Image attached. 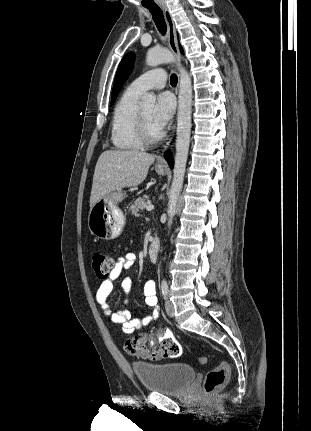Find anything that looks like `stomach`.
<instances>
[{
  "label": "stomach",
  "instance_id": "obj_1",
  "mask_svg": "<svg viewBox=\"0 0 311 431\" xmlns=\"http://www.w3.org/2000/svg\"><path fill=\"white\" fill-rule=\"evenodd\" d=\"M158 176H165V168L155 166ZM127 198L122 190L112 192L101 198L99 202L90 208L88 214V227L99 239H115L124 229L126 216H124L119 204Z\"/></svg>",
  "mask_w": 311,
  "mask_h": 431
}]
</instances>
